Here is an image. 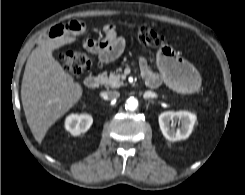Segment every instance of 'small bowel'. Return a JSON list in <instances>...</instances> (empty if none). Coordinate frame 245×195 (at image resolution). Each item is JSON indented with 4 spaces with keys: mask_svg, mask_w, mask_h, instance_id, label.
Listing matches in <instances>:
<instances>
[{
    "mask_svg": "<svg viewBox=\"0 0 245 195\" xmlns=\"http://www.w3.org/2000/svg\"><path fill=\"white\" fill-rule=\"evenodd\" d=\"M84 29L85 26L82 22L73 20L54 26L50 34L52 37H59L65 33L78 34L84 31ZM102 30L104 32L102 39L95 40L87 38L83 41V45L87 50L96 54L98 62L103 64L115 60L122 54L125 47V39L117 34L115 27L111 24H105ZM139 64L145 75L158 77L149 69L144 57H140Z\"/></svg>",
    "mask_w": 245,
    "mask_h": 195,
    "instance_id": "obj_1",
    "label": "small bowel"
}]
</instances>
